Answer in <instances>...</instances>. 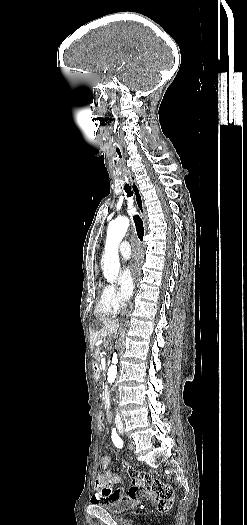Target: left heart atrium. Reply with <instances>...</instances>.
<instances>
[{
	"label": "left heart atrium",
	"mask_w": 247,
	"mask_h": 525,
	"mask_svg": "<svg viewBox=\"0 0 247 525\" xmlns=\"http://www.w3.org/2000/svg\"><path fill=\"white\" fill-rule=\"evenodd\" d=\"M144 266V253L140 249H137L134 251L129 265L123 268L121 274L122 289L125 297H128L132 293L135 281L141 276Z\"/></svg>",
	"instance_id": "1"
}]
</instances>
